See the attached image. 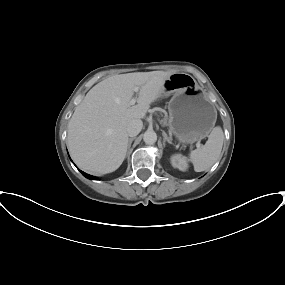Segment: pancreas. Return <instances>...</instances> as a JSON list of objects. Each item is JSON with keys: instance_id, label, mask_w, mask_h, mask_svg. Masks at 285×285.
<instances>
[{"instance_id": "obj_1", "label": "pancreas", "mask_w": 285, "mask_h": 285, "mask_svg": "<svg viewBox=\"0 0 285 285\" xmlns=\"http://www.w3.org/2000/svg\"><path fill=\"white\" fill-rule=\"evenodd\" d=\"M163 124H166V121H165V120L163 121Z\"/></svg>"}]
</instances>
